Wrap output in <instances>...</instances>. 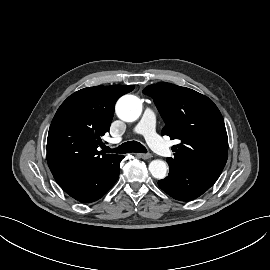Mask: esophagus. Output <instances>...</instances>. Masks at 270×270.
I'll use <instances>...</instances> for the list:
<instances>
[{"instance_id": "esophagus-1", "label": "esophagus", "mask_w": 270, "mask_h": 270, "mask_svg": "<svg viewBox=\"0 0 270 270\" xmlns=\"http://www.w3.org/2000/svg\"><path fill=\"white\" fill-rule=\"evenodd\" d=\"M137 156L139 157V158H142V159H144V160H148V159H150L151 157H152V155L151 154H137Z\"/></svg>"}]
</instances>
